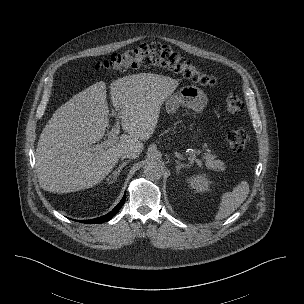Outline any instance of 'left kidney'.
Wrapping results in <instances>:
<instances>
[{"mask_svg":"<svg viewBox=\"0 0 304 304\" xmlns=\"http://www.w3.org/2000/svg\"><path fill=\"white\" fill-rule=\"evenodd\" d=\"M188 183L191 188L195 189L197 192H204L208 190L210 181L206 175H196L188 179Z\"/></svg>","mask_w":304,"mask_h":304,"instance_id":"5707ae66","label":"left kidney"}]
</instances>
